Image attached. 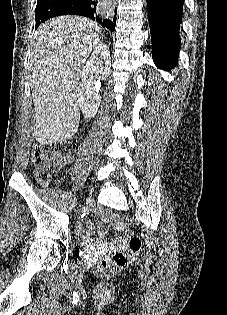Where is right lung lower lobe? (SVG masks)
Returning <instances> with one entry per match:
<instances>
[{"label":"right lung lower lobe","mask_w":227,"mask_h":315,"mask_svg":"<svg viewBox=\"0 0 227 315\" xmlns=\"http://www.w3.org/2000/svg\"><path fill=\"white\" fill-rule=\"evenodd\" d=\"M97 1L95 0H67L57 10L54 11L52 17L61 15H80L96 20L102 26L114 31L116 19H102L96 14ZM116 14V8H115Z\"/></svg>","instance_id":"obj_1"}]
</instances>
